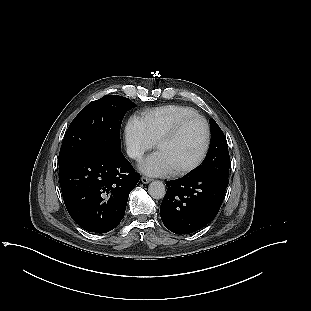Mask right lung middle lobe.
Here are the masks:
<instances>
[{"mask_svg":"<svg viewBox=\"0 0 311 311\" xmlns=\"http://www.w3.org/2000/svg\"><path fill=\"white\" fill-rule=\"evenodd\" d=\"M136 105L128 98L106 95L89 103L70 124L59 153V168L92 153L121 152L120 127L127 111Z\"/></svg>","mask_w":311,"mask_h":311,"instance_id":"right-lung-middle-lobe-1","label":"right lung middle lobe"}]
</instances>
